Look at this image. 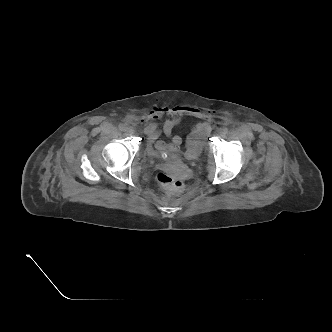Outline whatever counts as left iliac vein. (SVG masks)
<instances>
[{"label":"left iliac vein","mask_w":332,"mask_h":332,"mask_svg":"<svg viewBox=\"0 0 332 332\" xmlns=\"http://www.w3.org/2000/svg\"><path fill=\"white\" fill-rule=\"evenodd\" d=\"M222 134H223L222 130H218V131H217V135H218V136H220V135H222Z\"/></svg>","instance_id":"4c4485c4"}]
</instances>
